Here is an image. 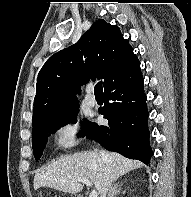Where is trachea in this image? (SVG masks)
<instances>
[{"instance_id":"1","label":"trachea","mask_w":191,"mask_h":197,"mask_svg":"<svg viewBox=\"0 0 191 197\" xmlns=\"http://www.w3.org/2000/svg\"><path fill=\"white\" fill-rule=\"evenodd\" d=\"M95 94H103L102 81L98 82L94 87Z\"/></svg>"}]
</instances>
